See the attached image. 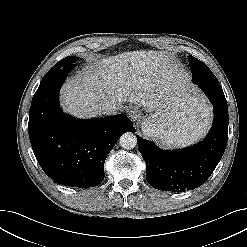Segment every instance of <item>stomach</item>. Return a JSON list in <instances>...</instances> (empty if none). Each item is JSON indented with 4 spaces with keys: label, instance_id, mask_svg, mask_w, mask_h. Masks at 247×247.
Segmentation results:
<instances>
[{
    "label": "stomach",
    "instance_id": "0dacf381",
    "mask_svg": "<svg viewBox=\"0 0 247 247\" xmlns=\"http://www.w3.org/2000/svg\"><path fill=\"white\" fill-rule=\"evenodd\" d=\"M173 99L165 101L144 121L142 130L149 137L157 139L164 146H181L189 144L202 135L206 127L197 129L193 121L200 124L209 121L210 114L205 99L185 83L179 89L172 90ZM195 103L198 112L192 117L184 110V105Z\"/></svg>",
    "mask_w": 247,
    "mask_h": 247
}]
</instances>
